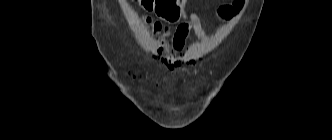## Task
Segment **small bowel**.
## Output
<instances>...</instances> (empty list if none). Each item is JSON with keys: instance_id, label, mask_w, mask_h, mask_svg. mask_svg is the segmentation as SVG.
I'll return each instance as SVG.
<instances>
[{"instance_id": "obj_1", "label": "small bowel", "mask_w": 332, "mask_h": 140, "mask_svg": "<svg viewBox=\"0 0 332 140\" xmlns=\"http://www.w3.org/2000/svg\"><path fill=\"white\" fill-rule=\"evenodd\" d=\"M187 0H181L179 18L182 20L173 33L160 35L162 41L161 53L164 54L161 62L172 72H179L183 66V50L186 40L193 32L200 40H208L202 22L196 12L187 14L184 5Z\"/></svg>"}]
</instances>
